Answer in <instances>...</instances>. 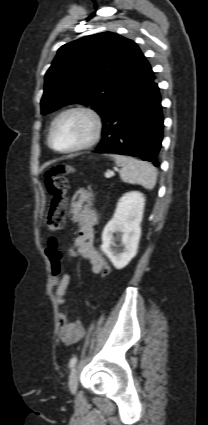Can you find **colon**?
<instances>
[{
  "instance_id": "colon-1",
  "label": "colon",
  "mask_w": 208,
  "mask_h": 425,
  "mask_svg": "<svg viewBox=\"0 0 208 425\" xmlns=\"http://www.w3.org/2000/svg\"><path fill=\"white\" fill-rule=\"evenodd\" d=\"M74 172V168L67 164H58L49 168L44 175L45 188L51 196V204L47 217V224L52 232L58 231L64 220L65 196L68 190L67 176ZM47 255L51 261L53 277H57L62 272L63 254L60 248L51 240ZM67 255L74 256L75 251L69 250ZM110 273V267L105 265L100 275L106 277ZM55 287V283H53Z\"/></svg>"
}]
</instances>
